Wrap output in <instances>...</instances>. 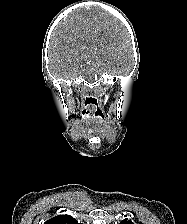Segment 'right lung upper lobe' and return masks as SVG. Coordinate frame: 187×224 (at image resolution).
Here are the masks:
<instances>
[{
    "instance_id": "right-lung-upper-lobe-1",
    "label": "right lung upper lobe",
    "mask_w": 187,
    "mask_h": 224,
    "mask_svg": "<svg viewBox=\"0 0 187 224\" xmlns=\"http://www.w3.org/2000/svg\"><path fill=\"white\" fill-rule=\"evenodd\" d=\"M44 224H78V222L72 216L59 215L46 221Z\"/></svg>"
}]
</instances>
